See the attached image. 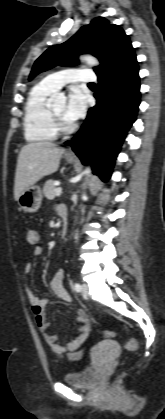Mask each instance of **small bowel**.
<instances>
[{"mask_svg": "<svg viewBox=\"0 0 165 419\" xmlns=\"http://www.w3.org/2000/svg\"><path fill=\"white\" fill-rule=\"evenodd\" d=\"M32 235L35 236L34 239L32 238ZM27 238L30 243L36 244L39 241V234L35 229H28ZM42 253L43 249L41 246H35L32 250V255L34 257H40ZM32 268V263L26 264L25 275H28L32 271ZM64 277V270L59 269L54 274L50 282V289L61 302L69 303L71 301V297L63 285ZM27 293L37 327L44 334V339L51 351L60 358L65 357L69 361L81 359L86 352V349L82 347V345L88 338L90 332V322L87 312L84 309H79L77 311L76 321L79 324V327L73 334L74 338L65 344H61L58 342V336L56 334L47 332L49 329V322H47L45 318L44 309L48 304V300L46 298L39 297L30 289H28Z\"/></svg>", "mask_w": 165, "mask_h": 419, "instance_id": "small-bowel-1", "label": "small bowel"}]
</instances>
